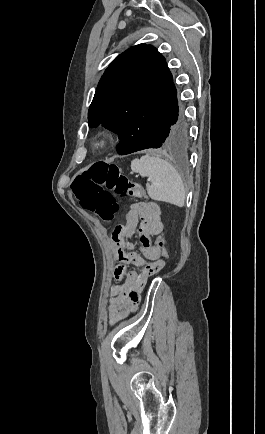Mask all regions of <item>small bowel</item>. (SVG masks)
Here are the masks:
<instances>
[{"mask_svg": "<svg viewBox=\"0 0 265 434\" xmlns=\"http://www.w3.org/2000/svg\"><path fill=\"white\" fill-rule=\"evenodd\" d=\"M123 226L128 230V235L114 239L112 233L118 265L113 273L116 284L109 288L108 320L110 324H115L136 311L140 302V293L144 288L145 280L148 279L147 275H156L159 272L156 266L141 267L138 272L134 267L146 262L158 261L162 267L164 266V260L160 259L159 251L152 242V237L163 231L161 208L156 202L146 201L133 204L126 213ZM137 228L143 258L125 249L127 238L132 236Z\"/></svg>", "mask_w": 265, "mask_h": 434, "instance_id": "1", "label": "small bowel"}]
</instances>
